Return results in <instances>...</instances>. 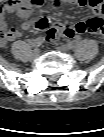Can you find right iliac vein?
<instances>
[{
  "mask_svg": "<svg viewBox=\"0 0 104 137\" xmlns=\"http://www.w3.org/2000/svg\"><path fill=\"white\" fill-rule=\"evenodd\" d=\"M40 54V49H34V51L32 52V58H37Z\"/></svg>",
  "mask_w": 104,
  "mask_h": 137,
  "instance_id": "1",
  "label": "right iliac vein"
}]
</instances>
